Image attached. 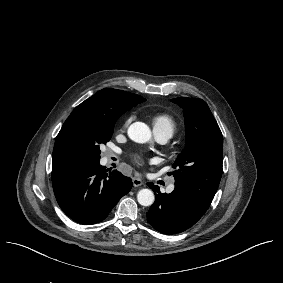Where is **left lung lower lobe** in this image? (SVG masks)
I'll use <instances>...</instances> for the list:
<instances>
[{
  "mask_svg": "<svg viewBox=\"0 0 283 283\" xmlns=\"http://www.w3.org/2000/svg\"><path fill=\"white\" fill-rule=\"evenodd\" d=\"M155 194V203L147 213L148 223L163 234L183 232L194 225L210 204L175 186L170 194H161L159 187L147 183Z\"/></svg>",
  "mask_w": 283,
  "mask_h": 283,
  "instance_id": "0a47b994",
  "label": "left lung lower lobe"
}]
</instances>
